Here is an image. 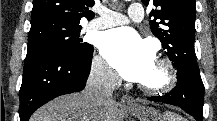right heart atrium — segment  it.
Segmentation results:
<instances>
[{
	"label": "right heart atrium",
	"mask_w": 217,
	"mask_h": 121,
	"mask_svg": "<svg viewBox=\"0 0 217 121\" xmlns=\"http://www.w3.org/2000/svg\"><path fill=\"white\" fill-rule=\"evenodd\" d=\"M92 75L99 80L100 82L114 85L117 83V75L116 73L108 66L105 60L96 55L92 60L91 67Z\"/></svg>",
	"instance_id": "1"
}]
</instances>
